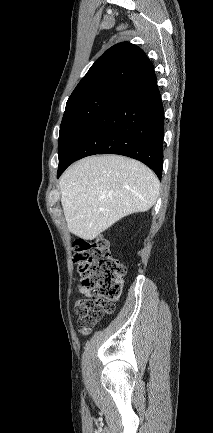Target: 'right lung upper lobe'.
I'll return each mask as SVG.
<instances>
[{
  "label": "right lung upper lobe",
  "mask_w": 213,
  "mask_h": 433,
  "mask_svg": "<svg viewBox=\"0 0 213 433\" xmlns=\"http://www.w3.org/2000/svg\"><path fill=\"white\" fill-rule=\"evenodd\" d=\"M153 70L138 46L118 43L104 52L76 86L68 102L103 92L122 93Z\"/></svg>",
  "instance_id": "right-lung-upper-lobe-1"
}]
</instances>
